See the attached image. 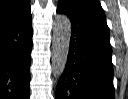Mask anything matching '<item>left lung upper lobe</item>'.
<instances>
[{"mask_svg":"<svg viewBox=\"0 0 128 99\" xmlns=\"http://www.w3.org/2000/svg\"><path fill=\"white\" fill-rule=\"evenodd\" d=\"M74 1L78 2L80 4H83L85 6H89V7L98 9L103 12L99 0H74Z\"/></svg>","mask_w":128,"mask_h":99,"instance_id":"obj_1","label":"left lung upper lobe"}]
</instances>
